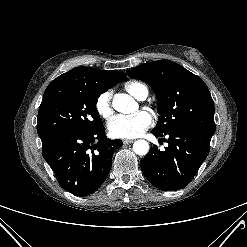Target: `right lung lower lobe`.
I'll return each mask as SVG.
<instances>
[{
    "mask_svg": "<svg viewBox=\"0 0 247 247\" xmlns=\"http://www.w3.org/2000/svg\"><path fill=\"white\" fill-rule=\"evenodd\" d=\"M121 140L105 136L104 126L90 132L56 135L42 141V154L62 188L77 196L95 192L110 172Z\"/></svg>",
    "mask_w": 247,
    "mask_h": 247,
    "instance_id": "1",
    "label": "right lung lower lobe"
}]
</instances>
